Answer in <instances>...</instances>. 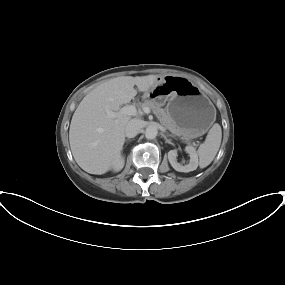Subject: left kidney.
<instances>
[{
	"mask_svg": "<svg viewBox=\"0 0 285 285\" xmlns=\"http://www.w3.org/2000/svg\"><path fill=\"white\" fill-rule=\"evenodd\" d=\"M185 151L190 156L189 164L183 166L180 163H178L177 162L178 151L176 149H174V150H170L168 152V160H169L171 166L176 171H179V172H190V171L196 170L198 167V156H197L195 148L193 146H186Z\"/></svg>",
	"mask_w": 285,
	"mask_h": 285,
	"instance_id": "5707ae66",
	"label": "left kidney"
}]
</instances>
